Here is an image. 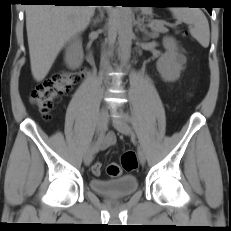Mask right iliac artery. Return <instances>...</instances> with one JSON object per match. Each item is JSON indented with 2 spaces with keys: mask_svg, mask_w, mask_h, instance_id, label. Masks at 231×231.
Wrapping results in <instances>:
<instances>
[{
  "mask_svg": "<svg viewBox=\"0 0 231 231\" xmlns=\"http://www.w3.org/2000/svg\"><path fill=\"white\" fill-rule=\"evenodd\" d=\"M104 137V130H102L100 133H98V140H97V143L93 146L94 148V152H97V144L98 142Z\"/></svg>",
  "mask_w": 231,
  "mask_h": 231,
  "instance_id": "right-iliac-artery-1",
  "label": "right iliac artery"
}]
</instances>
